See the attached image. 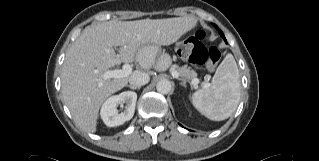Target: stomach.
I'll list each match as a JSON object with an SVG mask.
<instances>
[{
    "instance_id": "1",
    "label": "stomach",
    "mask_w": 319,
    "mask_h": 161,
    "mask_svg": "<svg viewBox=\"0 0 319 161\" xmlns=\"http://www.w3.org/2000/svg\"><path fill=\"white\" fill-rule=\"evenodd\" d=\"M137 58L139 61L152 62L161 70L167 69L171 64V57L156 44L143 45L138 51Z\"/></svg>"
}]
</instances>
